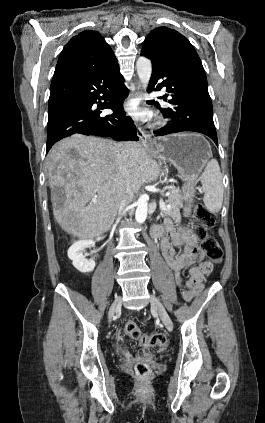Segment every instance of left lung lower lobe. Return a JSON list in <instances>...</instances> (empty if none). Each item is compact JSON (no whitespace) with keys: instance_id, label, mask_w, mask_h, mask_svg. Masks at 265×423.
Segmentation results:
<instances>
[{"instance_id":"1","label":"left lung lower lobe","mask_w":265,"mask_h":423,"mask_svg":"<svg viewBox=\"0 0 265 423\" xmlns=\"http://www.w3.org/2000/svg\"><path fill=\"white\" fill-rule=\"evenodd\" d=\"M144 56V55H142ZM150 59V58H149ZM152 61L149 89L166 87L172 107L161 109L171 121L156 136L193 131L209 136L218 145L207 78L201 60L188 40H178L166 53ZM159 79H163L158 83ZM167 96L163 100L167 101ZM159 106L156 101L149 102Z\"/></svg>"}]
</instances>
